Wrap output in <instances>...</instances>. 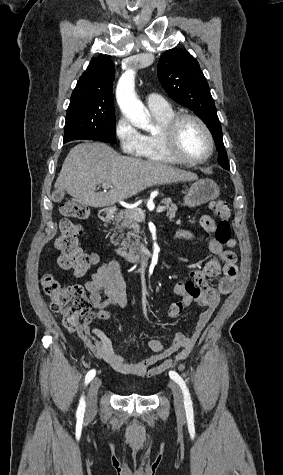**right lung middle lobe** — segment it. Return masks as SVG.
<instances>
[{
	"instance_id": "1",
	"label": "right lung middle lobe",
	"mask_w": 283,
	"mask_h": 475,
	"mask_svg": "<svg viewBox=\"0 0 283 475\" xmlns=\"http://www.w3.org/2000/svg\"><path fill=\"white\" fill-rule=\"evenodd\" d=\"M114 105L95 101H70L64 143L75 139L116 142Z\"/></svg>"
}]
</instances>
